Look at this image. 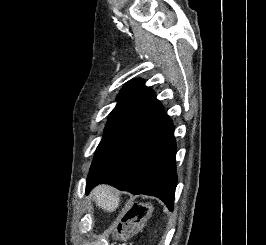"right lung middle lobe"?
<instances>
[{
	"mask_svg": "<svg viewBox=\"0 0 266 245\" xmlns=\"http://www.w3.org/2000/svg\"><path fill=\"white\" fill-rule=\"evenodd\" d=\"M144 123V121L140 120H119L109 118L105 127L103 139L97 148L92 166L119 146Z\"/></svg>",
	"mask_w": 266,
	"mask_h": 245,
	"instance_id": "right-lung-middle-lobe-1",
	"label": "right lung middle lobe"
}]
</instances>
